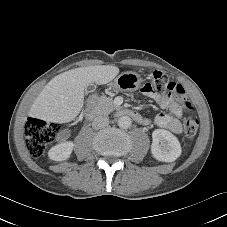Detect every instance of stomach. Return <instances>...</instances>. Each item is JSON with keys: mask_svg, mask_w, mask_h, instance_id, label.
Returning a JSON list of instances; mask_svg holds the SVG:
<instances>
[{"mask_svg": "<svg viewBox=\"0 0 227 227\" xmlns=\"http://www.w3.org/2000/svg\"><path fill=\"white\" fill-rule=\"evenodd\" d=\"M142 79L138 73L127 71L118 75L110 87L114 91L132 92L139 89Z\"/></svg>", "mask_w": 227, "mask_h": 227, "instance_id": "obj_1", "label": "stomach"}]
</instances>
